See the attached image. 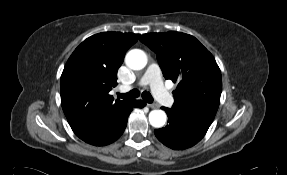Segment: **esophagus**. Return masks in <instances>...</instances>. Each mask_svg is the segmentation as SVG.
Wrapping results in <instances>:
<instances>
[{"label":"esophagus","mask_w":287,"mask_h":175,"mask_svg":"<svg viewBox=\"0 0 287 175\" xmlns=\"http://www.w3.org/2000/svg\"><path fill=\"white\" fill-rule=\"evenodd\" d=\"M147 106L150 107V108H152V109H157V108H159V105L156 104V103H148Z\"/></svg>","instance_id":"esophagus-1"}]
</instances>
